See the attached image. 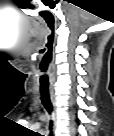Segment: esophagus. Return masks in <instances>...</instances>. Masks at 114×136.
Segmentation results:
<instances>
[{"mask_svg": "<svg viewBox=\"0 0 114 136\" xmlns=\"http://www.w3.org/2000/svg\"><path fill=\"white\" fill-rule=\"evenodd\" d=\"M50 98H51V102L53 104V107H54V110L56 108V98H55V93H54V90L53 88L51 87L50 88ZM55 111H54V114H53V117H54V120H55Z\"/></svg>", "mask_w": 114, "mask_h": 136, "instance_id": "obj_1", "label": "esophagus"}]
</instances>
